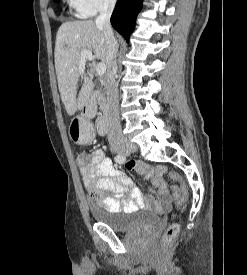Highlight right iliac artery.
Segmentation results:
<instances>
[{
	"label": "right iliac artery",
	"instance_id": "82829eb1",
	"mask_svg": "<svg viewBox=\"0 0 247 275\" xmlns=\"http://www.w3.org/2000/svg\"><path fill=\"white\" fill-rule=\"evenodd\" d=\"M125 159H126V158H125L123 155H121V154L116 155L115 158H114V160H115L117 163H119V164L124 163ZM150 171H151V172L149 173L148 179H149V180H152L154 174L156 173V170H155L154 167H151V168H150Z\"/></svg>",
	"mask_w": 247,
	"mask_h": 275
}]
</instances>
